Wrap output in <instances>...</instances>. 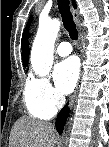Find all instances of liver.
<instances>
[{"instance_id": "6515ba94", "label": "liver", "mask_w": 109, "mask_h": 147, "mask_svg": "<svg viewBox=\"0 0 109 147\" xmlns=\"http://www.w3.org/2000/svg\"><path fill=\"white\" fill-rule=\"evenodd\" d=\"M56 140V131L50 124L22 117L12 127L9 147H54Z\"/></svg>"}]
</instances>
